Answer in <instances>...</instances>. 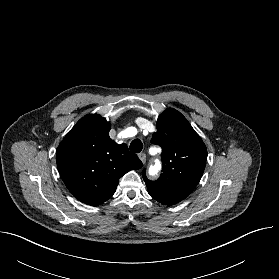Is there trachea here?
<instances>
[{
    "mask_svg": "<svg viewBox=\"0 0 279 279\" xmlns=\"http://www.w3.org/2000/svg\"><path fill=\"white\" fill-rule=\"evenodd\" d=\"M143 144L139 139H135L130 143V150L134 153L141 152Z\"/></svg>",
    "mask_w": 279,
    "mask_h": 279,
    "instance_id": "3493384b",
    "label": "trachea"
}]
</instances>
